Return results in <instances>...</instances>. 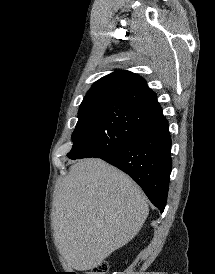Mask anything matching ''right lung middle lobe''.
Returning a JSON list of instances; mask_svg holds the SVG:
<instances>
[{"instance_id":"dd1d6c3e","label":"right lung middle lobe","mask_w":215,"mask_h":274,"mask_svg":"<svg viewBox=\"0 0 215 274\" xmlns=\"http://www.w3.org/2000/svg\"><path fill=\"white\" fill-rule=\"evenodd\" d=\"M159 116L116 101L81 103L70 159L106 157L131 141Z\"/></svg>"}]
</instances>
